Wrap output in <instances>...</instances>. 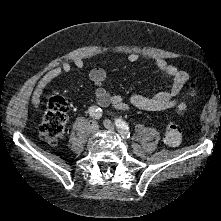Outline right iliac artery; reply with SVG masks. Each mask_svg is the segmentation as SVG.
Wrapping results in <instances>:
<instances>
[{"mask_svg": "<svg viewBox=\"0 0 221 221\" xmlns=\"http://www.w3.org/2000/svg\"><path fill=\"white\" fill-rule=\"evenodd\" d=\"M89 114L95 119H100L102 117V110L97 106H91L89 108Z\"/></svg>", "mask_w": 221, "mask_h": 221, "instance_id": "obj_1", "label": "right iliac artery"}]
</instances>
